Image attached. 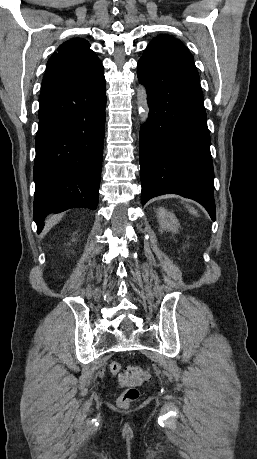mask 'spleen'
Listing matches in <instances>:
<instances>
[{
	"label": "spleen",
	"mask_w": 257,
	"mask_h": 459,
	"mask_svg": "<svg viewBox=\"0 0 257 459\" xmlns=\"http://www.w3.org/2000/svg\"><path fill=\"white\" fill-rule=\"evenodd\" d=\"M187 208L191 214L196 215V216L198 215L197 211L193 207L187 206Z\"/></svg>",
	"instance_id": "1"
}]
</instances>
